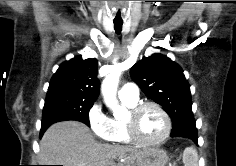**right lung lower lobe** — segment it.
I'll list each match as a JSON object with an SVG mask.
<instances>
[{"label": "right lung lower lobe", "mask_w": 236, "mask_h": 166, "mask_svg": "<svg viewBox=\"0 0 236 166\" xmlns=\"http://www.w3.org/2000/svg\"><path fill=\"white\" fill-rule=\"evenodd\" d=\"M46 130V129H45ZM45 130H41L40 131V137L43 135V133L45 132Z\"/></svg>", "instance_id": "obj_1"}]
</instances>
